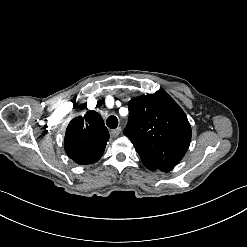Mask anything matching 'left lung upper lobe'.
<instances>
[{
    "label": "left lung upper lobe",
    "instance_id": "1",
    "mask_svg": "<svg viewBox=\"0 0 247 247\" xmlns=\"http://www.w3.org/2000/svg\"><path fill=\"white\" fill-rule=\"evenodd\" d=\"M124 129L150 170L171 171L185 155L191 127L183 110L166 92L132 98Z\"/></svg>",
    "mask_w": 247,
    "mask_h": 247
}]
</instances>
